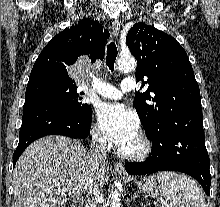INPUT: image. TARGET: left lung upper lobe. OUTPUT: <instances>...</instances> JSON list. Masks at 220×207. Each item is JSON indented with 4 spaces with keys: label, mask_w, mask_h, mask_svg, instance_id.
<instances>
[{
    "label": "left lung upper lobe",
    "mask_w": 220,
    "mask_h": 207,
    "mask_svg": "<svg viewBox=\"0 0 220 207\" xmlns=\"http://www.w3.org/2000/svg\"><path fill=\"white\" fill-rule=\"evenodd\" d=\"M126 43L138 63L137 81L142 80V86L148 84L147 91L136 93L134 100L147 135L178 111L201 107L192 66L176 39L153 26L137 23L129 30Z\"/></svg>",
    "instance_id": "obj_1"
}]
</instances>
